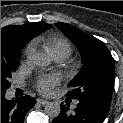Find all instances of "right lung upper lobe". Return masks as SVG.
<instances>
[{"instance_id": "1", "label": "right lung upper lobe", "mask_w": 123, "mask_h": 123, "mask_svg": "<svg viewBox=\"0 0 123 123\" xmlns=\"http://www.w3.org/2000/svg\"><path fill=\"white\" fill-rule=\"evenodd\" d=\"M51 27V24L36 22L1 28V58H19L21 50L29 40Z\"/></svg>"}]
</instances>
